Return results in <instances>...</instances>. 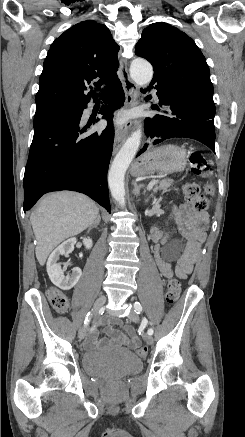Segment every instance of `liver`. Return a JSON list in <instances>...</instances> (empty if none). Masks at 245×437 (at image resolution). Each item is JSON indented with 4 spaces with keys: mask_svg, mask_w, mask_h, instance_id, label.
<instances>
[{
    "mask_svg": "<svg viewBox=\"0 0 245 437\" xmlns=\"http://www.w3.org/2000/svg\"><path fill=\"white\" fill-rule=\"evenodd\" d=\"M98 215L95 203L79 193L57 192L42 198L30 216L39 264L43 266L62 241L92 226Z\"/></svg>",
    "mask_w": 245,
    "mask_h": 437,
    "instance_id": "obj_1",
    "label": "liver"
}]
</instances>
